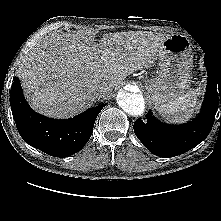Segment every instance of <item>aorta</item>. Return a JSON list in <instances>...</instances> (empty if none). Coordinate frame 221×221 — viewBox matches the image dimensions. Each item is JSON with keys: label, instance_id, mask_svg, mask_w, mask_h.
Segmentation results:
<instances>
[{"label": "aorta", "instance_id": "obj_1", "mask_svg": "<svg viewBox=\"0 0 221 221\" xmlns=\"http://www.w3.org/2000/svg\"><path fill=\"white\" fill-rule=\"evenodd\" d=\"M116 100L119 107L129 115L139 116L144 112L145 102L141 94L119 91Z\"/></svg>", "mask_w": 221, "mask_h": 221}]
</instances>
